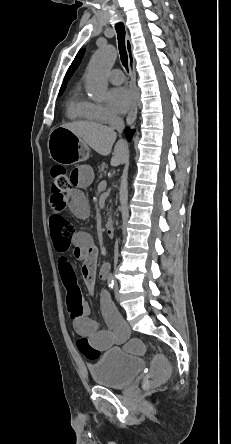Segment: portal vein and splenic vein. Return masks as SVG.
I'll return each instance as SVG.
<instances>
[{
	"label": "portal vein and splenic vein",
	"mask_w": 231,
	"mask_h": 444,
	"mask_svg": "<svg viewBox=\"0 0 231 444\" xmlns=\"http://www.w3.org/2000/svg\"><path fill=\"white\" fill-rule=\"evenodd\" d=\"M107 186V182H106V180H102L100 183H99V187H101V188H105Z\"/></svg>",
	"instance_id": "1"
}]
</instances>
